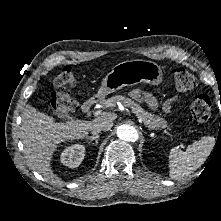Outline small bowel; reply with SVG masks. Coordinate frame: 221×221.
<instances>
[{"instance_id":"small-bowel-1","label":"small bowel","mask_w":221,"mask_h":221,"mask_svg":"<svg viewBox=\"0 0 221 221\" xmlns=\"http://www.w3.org/2000/svg\"><path fill=\"white\" fill-rule=\"evenodd\" d=\"M130 96L135 100L145 103L148 107L153 108L157 105L154 97L149 92L144 91L142 89H133L130 92ZM178 99H179V96L176 95L172 97L171 99L167 100L163 105L164 110L168 111L171 104L177 101Z\"/></svg>"}]
</instances>
